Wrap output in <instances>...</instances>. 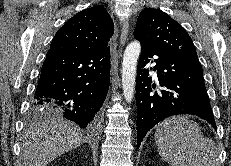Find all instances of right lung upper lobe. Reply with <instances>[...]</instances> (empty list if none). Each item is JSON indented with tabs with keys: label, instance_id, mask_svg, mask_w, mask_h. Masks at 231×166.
<instances>
[{
	"label": "right lung upper lobe",
	"instance_id": "cb5924a9",
	"mask_svg": "<svg viewBox=\"0 0 231 166\" xmlns=\"http://www.w3.org/2000/svg\"><path fill=\"white\" fill-rule=\"evenodd\" d=\"M114 32L109 13L101 6L80 11L55 34L49 50L93 53L108 47Z\"/></svg>",
	"mask_w": 231,
	"mask_h": 166
}]
</instances>
